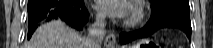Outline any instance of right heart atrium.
Here are the masks:
<instances>
[{
	"label": "right heart atrium",
	"instance_id": "d8ad5b80",
	"mask_svg": "<svg viewBox=\"0 0 213 48\" xmlns=\"http://www.w3.org/2000/svg\"><path fill=\"white\" fill-rule=\"evenodd\" d=\"M97 18H98V20H100V19H101V16H100V15H98V16H97Z\"/></svg>",
	"mask_w": 213,
	"mask_h": 48
}]
</instances>
